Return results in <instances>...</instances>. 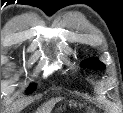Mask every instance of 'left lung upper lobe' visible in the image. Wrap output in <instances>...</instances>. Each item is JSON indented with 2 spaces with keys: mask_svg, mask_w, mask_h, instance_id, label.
I'll return each mask as SVG.
<instances>
[{
  "mask_svg": "<svg viewBox=\"0 0 123 113\" xmlns=\"http://www.w3.org/2000/svg\"><path fill=\"white\" fill-rule=\"evenodd\" d=\"M82 67L85 68H93V69H105V66L103 63H101L97 59H88L82 63Z\"/></svg>",
  "mask_w": 123,
  "mask_h": 113,
  "instance_id": "5c2ea615",
  "label": "left lung upper lobe"
}]
</instances>
